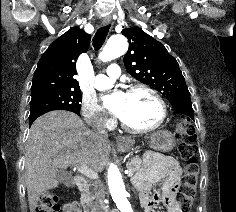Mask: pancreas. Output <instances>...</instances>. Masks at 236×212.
I'll list each match as a JSON object with an SVG mask.
<instances>
[{
  "mask_svg": "<svg viewBox=\"0 0 236 212\" xmlns=\"http://www.w3.org/2000/svg\"><path fill=\"white\" fill-rule=\"evenodd\" d=\"M129 171H132L135 173L136 171H139L142 167V160L140 157L136 156L130 159L129 162L126 164Z\"/></svg>",
  "mask_w": 236,
  "mask_h": 212,
  "instance_id": "pancreas-1",
  "label": "pancreas"
}]
</instances>
